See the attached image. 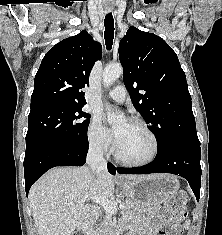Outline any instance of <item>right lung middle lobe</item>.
I'll list each match as a JSON object with an SVG mask.
<instances>
[{"mask_svg":"<svg viewBox=\"0 0 222 235\" xmlns=\"http://www.w3.org/2000/svg\"><path fill=\"white\" fill-rule=\"evenodd\" d=\"M82 107L59 105L29 115L25 156L49 146L88 147L90 115Z\"/></svg>","mask_w":222,"mask_h":235,"instance_id":"obj_1","label":"right lung middle lobe"}]
</instances>
